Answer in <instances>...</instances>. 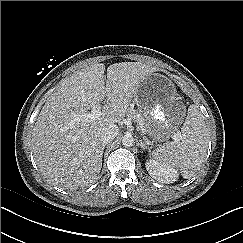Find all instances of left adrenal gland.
I'll use <instances>...</instances> for the list:
<instances>
[{"instance_id": "a2214340", "label": "left adrenal gland", "mask_w": 243, "mask_h": 243, "mask_svg": "<svg viewBox=\"0 0 243 243\" xmlns=\"http://www.w3.org/2000/svg\"><path fill=\"white\" fill-rule=\"evenodd\" d=\"M140 147L143 150H149V148L144 144V142H142V140H140Z\"/></svg>"}]
</instances>
